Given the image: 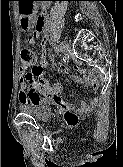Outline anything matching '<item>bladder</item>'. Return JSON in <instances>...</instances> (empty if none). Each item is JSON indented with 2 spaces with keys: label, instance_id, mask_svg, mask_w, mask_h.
Listing matches in <instances>:
<instances>
[{
  "label": "bladder",
  "instance_id": "bladder-1",
  "mask_svg": "<svg viewBox=\"0 0 123 167\" xmlns=\"http://www.w3.org/2000/svg\"><path fill=\"white\" fill-rule=\"evenodd\" d=\"M20 110L38 120H48L52 116L51 106L46 103L20 104Z\"/></svg>",
  "mask_w": 123,
  "mask_h": 167
}]
</instances>
